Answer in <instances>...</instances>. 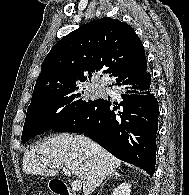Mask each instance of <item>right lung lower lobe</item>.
<instances>
[{
  "label": "right lung lower lobe",
  "instance_id": "right-lung-lower-lobe-1",
  "mask_svg": "<svg viewBox=\"0 0 189 195\" xmlns=\"http://www.w3.org/2000/svg\"><path fill=\"white\" fill-rule=\"evenodd\" d=\"M118 101L97 99L59 126L57 132L84 134L125 162L155 172L159 106L147 66L115 79Z\"/></svg>",
  "mask_w": 189,
  "mask_h": 195
}]
</instances>
